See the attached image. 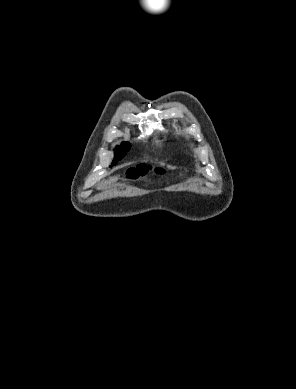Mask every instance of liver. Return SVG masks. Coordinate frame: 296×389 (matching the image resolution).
<instances>
[{
	"instance_id": "obj_1",
	"label": "liver",
	"mask_w": 296,
	"mask_h": 389,
	"mask_svg": "<svg viewBox=\"0 0 296 389\" xmlns=\"http://www.w3.org/2000/svg\"><path fill=\"white\" fill-rule=\"evenodd\" d=\"M117 179H118V177H113V178H111L108 182L101 183V184L98 186V189H103V188H105L106 183H109L110 181L114 182V181H116Z\"/></svg>"
}]
</instances>
